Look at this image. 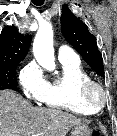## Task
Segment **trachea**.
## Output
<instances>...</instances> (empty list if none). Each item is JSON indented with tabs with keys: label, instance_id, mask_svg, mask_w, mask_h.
<instances>
[{
	"label": "trachea",
	"instance_id": "obj_1",
	"mask_svg": "<svg viewBox=\"0 0 117 136\" xmlns=\"http://www.w3.org/2000/svg\"><path fill=\"white\" fill-rule=\"evenodd\" d=\"M33 4L36 6H41L44 3V0H32Z\"/></svg>",
	"mask_w": 117,
	"mask_h": 136
}]
</instances>
